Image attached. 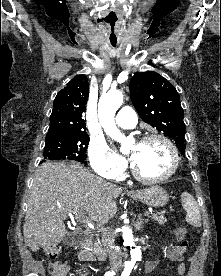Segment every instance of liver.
I'll list each match as a JSON object with an SVG mask.
<instances>
[{
	"label": "liver",
	"mask_w": 221,
	"mask_h": 276,
	"mask_svg": "<svg viewBox=\"0 0 221 276\" xmlns=\"http://www.w3.org/2000/svg\"><path fill=\"white\" fill-rule=\"evenodd\" d=\"M122 188L94 175L76 162H47L35 172L23 226L24 241L33 252L55 248L66 236L64 220L88 213L107 222L117 212Z\"/></svg>",
	"instance_id": "liver-1"
}]
</instances>
